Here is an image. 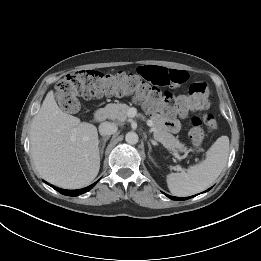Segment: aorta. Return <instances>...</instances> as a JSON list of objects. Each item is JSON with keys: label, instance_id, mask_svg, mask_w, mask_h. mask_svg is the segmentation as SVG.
I'll list each match as a JSON object with an SVG mask.
<instances>
[{"label": "aorta", "instance_id": "aorta-1", "mask_svg": "<svg viewBox=\"0 0 261 261\" xmlns=\"http://www.w3.org/2000/svg\"><path fill=\"white\" fill-rule=\"evenodd\" d=\"M125 140L128 144L134 145L138 143L139 137L135 132H128L125 136Z\"/></svg>", "mask_w": 261, "mask_h": 261}]
</instances>
